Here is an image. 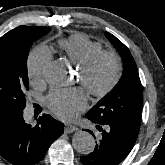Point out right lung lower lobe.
<instances>
[{
	"mask_svg": "<svg viewBox=\"0 0 165 165\" xmlns=\"http://www.w3.org/2000/svg\"><path fill=\"white\" fill-rule=\"evenodd\" d=\"M63 131V123L48 114L35 126L25 123L23 112L1 115L0 156L13 165H36Z\"/></svg>",
	"mask_w": 165,
	"mask_h": 165,
	"instance_id": "right-lung-lower-lobe-1",
	"label": "right lung lower lobe"
}]
</instances>
